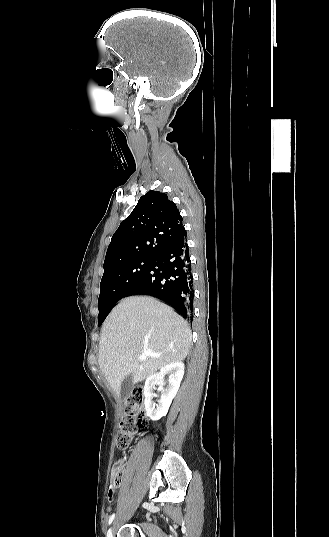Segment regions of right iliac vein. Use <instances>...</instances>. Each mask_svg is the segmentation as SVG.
Masks as SVG:
<instances>
[{
  "mask_svg": "<svg viewBox=\"0 0 329 537\" xmlns=\"http://www.w3.org/2000/svg\"><path fill=\"white\" fill-rule=\"evenodd\" d=\"M107 537H113V528H110L108 533H107Z\"/></svg>",
  "mask_w": 329,
  "mask_h": 537,
  "instance_id": "1",
  "label": "right iliac vein"
}]
</instances>
